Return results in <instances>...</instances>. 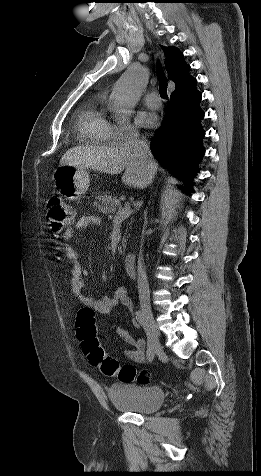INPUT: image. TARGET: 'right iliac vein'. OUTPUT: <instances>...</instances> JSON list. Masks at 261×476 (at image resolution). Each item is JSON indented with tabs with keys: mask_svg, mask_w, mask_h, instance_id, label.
<instances>
[{
	"mask_svg": "<svg viewBox=\"0 0 261 476\" xmlns=\"http://www.w3.org/2000/svg\"><path fill=\"white\" fill-rule=\"evenodd\" d=\"M143 312H144L145 317H146L147 327H148L149 330L152 331V335H153V338H154L153 341L156 343V346L154 347V350L157 354H162L163 347L160 343V333H159V331L157 329V326L155 324L153 314H152V312L149 308H144Z\"/></svg>",
	"mask_w": 261,
	"mask_h": 476,
	"instance_id": "right-iliac-vein-1",
	"label": "right iliac vein"
}]
</instances>
